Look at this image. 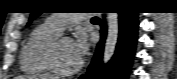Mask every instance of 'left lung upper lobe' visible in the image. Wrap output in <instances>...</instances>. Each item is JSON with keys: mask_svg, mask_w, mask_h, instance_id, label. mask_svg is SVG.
<instances>
[{"mask_svg": "<svg viewBox=\"0 0 177 79\" xmlns=\"http://www.w3.org/2000/svg\"><path fill=\"white\" fill-rule=\"evenodd\" d=\"M40 14H41L40 12H32L31 16H30V19H29V22H28V25L31 23L32 20H34Z\"/></svg>", "mask_w": 177, "mask_h": 79, "instance_id": "5c2ea615", "label": "left lung upper lobe"}]
</instances>
